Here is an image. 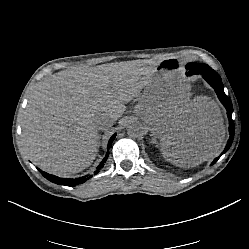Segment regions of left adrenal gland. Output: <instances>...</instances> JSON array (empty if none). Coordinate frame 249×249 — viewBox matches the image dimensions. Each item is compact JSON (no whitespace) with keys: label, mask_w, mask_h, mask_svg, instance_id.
Instances as JSON below:
<instances>
[{"label":"left adrenal gland","mask_w":249,"mask_h":249,"mask_svg":"<svg viewBox=\"0 0 249 249\" xmlns=\"http://www.w3.org/2000/svg\"><path fill=\"white\" fill-rule=\"evenodd\" d=\"M151 143H155L158 146V142L154 138H152Z\"/></svg>","instance_id":"1"}]
</instances>
